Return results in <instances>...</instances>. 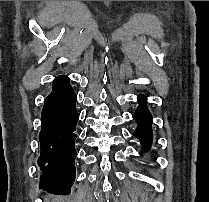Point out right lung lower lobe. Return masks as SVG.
<instances>
[{
    "instance_id": "right-lung-lower-lobe-1",
    "label": "right lung lower lobe",
    "mask_w": 209,
    "mask_h": 202,
    "mask_svg": "<svg viewBox=\"0 0 209 202\" xmlns=\"http://www.w3.org/2000/svg\"><path fill=\"white\" fill-rule=\"evenodd\" d=\"M52 86L42 110L39 134L41 154L38 164L43 170L40 187L54 194H69L76 175L77 96L67 76L57 77Z\"/></svg>"
}]
</instances>
